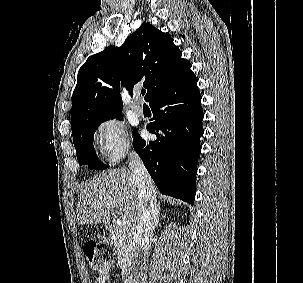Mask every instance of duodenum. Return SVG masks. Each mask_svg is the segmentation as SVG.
I'll use <instances>...</instances> for the list:
<instances>
[{"mask_svg":"<svg viewBox=\"0 0 303 283\" xmlns=\"http://www.w3.org/2000/svg\"><path fill=\"white\" fill-rule=\"evenodd\" d=\"M114 225H115V223L113 221L108 222V228L112 229L114 227ZM125 278H126L127 283H134V279L129 270H125Z\"/></svg>","mask_w":303,"mask_h":283,"instance_id":"obj_1","label":"duodenum"}]
</instances>
